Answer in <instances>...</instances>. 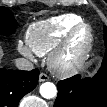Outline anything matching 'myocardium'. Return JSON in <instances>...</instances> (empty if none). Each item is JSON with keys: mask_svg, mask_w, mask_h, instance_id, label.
I'll use <instances>...</instances> for the list:
<instances>
[{"mask_svg": "<svg viewBox=\"0 0 107 107\" xmlns=\"http://www.w3.org/2000/svg\"><path fill=\"white\" fill-rule=\"evenodd\" d=\"M85 30L86 39L73 57H69L73 42L78 33ZM94 43V33L92 27L81 21L73 26L65 35L59 45L49 54L48 65L50 69L59 77H69L79 72L86 64Z\"/></svg>", "mask_w": 107, "mask_h": 107, "instance_id": "f54148a6", "label": "myocardium"}]
</instances>
